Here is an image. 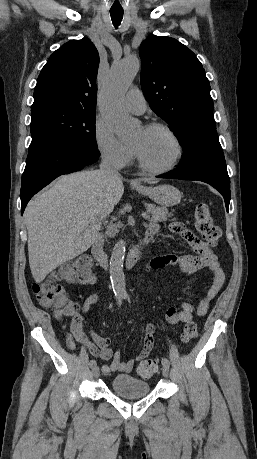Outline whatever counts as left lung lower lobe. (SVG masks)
<instances>
[{"instance_id":"obj_1","label":"left lung lower lobe","mask_w":257,"mask_h":459,"mask_svg":"<svg viewBox=\"0 0 257 459\" xmlns=\"http://www.w3.org/2000/svg\"><path fill=\"white\" fill-rule=\"evenodd\" d=\"M157 177L206 182L222 194L228 212L230 180L216 131L202 136L198 145L196 158L187 162L180 161L178 168Z\"/></svg>"}]
</instances>
